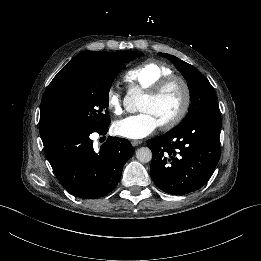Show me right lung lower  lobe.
Instances as JSON below:
<instances>
[{
  "mask_svg": "<svg viewBox=\"0 0 261 261\" xmlns=\"http://www.w3.org/2000/svg\"><path fill=\"white\" fill-rule=\"evenodd\" d=\"M108 128L99 131L106 134ZM93 133V132H92ZM88 132H69L45 147V155L60 184L73 196L94 199L110 193L134 149L123 138L109 137L99 152Z\"/></svg>",
  "mask_w": 261,
  "mask_h": 261,
  "instance_id": "98d812e1",
  "label": "right lung lower lobe"
}]
</instances>
